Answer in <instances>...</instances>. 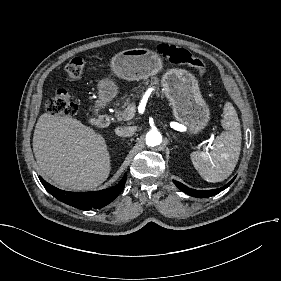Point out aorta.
<instances>
[{
    "label": "aorta",
    "mask_w": 281,
    "mask_h": 281,
    "mask_svg": "<svg viewBox=\"0 0 281 281\" xmlns=\"http://www.w3.org/2000/svg\"><path fill=\"white\" fill-rule=\"evenodd\" d=\"M162 142V136L160 134L159 131L157 130H150L147 134H146V144L149 147H155L160 145Z\"/></svg>",
    "instance_id": "1"
}]
</instances>
